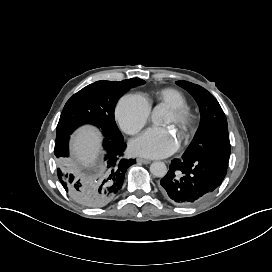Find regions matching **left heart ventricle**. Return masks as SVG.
<instances>
[{"instance_id":"left-heart-ventricle-1","label":"left heart ventricle","mask_w":272,"mask_h":272,"mask_svg":"<svg viewBox=\"0 0 272 272\" xmlns=\"http://www.w3.org/2000/svg\"><path fill=\"white\" fill-rule=\"evenodd\" d=\"M165 123L175 124V116H174V114L171 111H169Z\"/></svg>"}]
</instances>
